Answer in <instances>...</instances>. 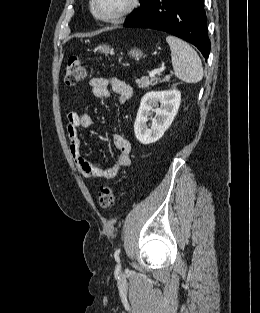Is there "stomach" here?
I'll return each mask as SVG.
<instances>
[{
	"mask_svg": "<svg viewBox=\"0 0 260 313\" xmlns=\"http://www.w3.org/2000/svg\"><path fill=\"white\" fill-rule=\"evenodd\" d=\"M95 51H98L100 53H113V48H111L109 45H99L95 48ZM130 57L135 58L136 60H139L141 57L144 56L143 52L139 49H131L128 53Z\"/></svg>",
	"mask_w": 260,
	"mask_h": 313,
	"instance_id": "1",
	"label": "stomach"
}]
</instances>
